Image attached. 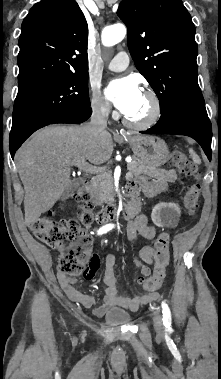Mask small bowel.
Here are the masks:
<instances>
[{"mask_svg": "<svg viewBox=\"0 0 221 379\" xmlns=\"http://www.w3.org/2000/svg\"><path fill=\"white\" fill-rule=\"evenodd\" d=\"M131 185H133L136 190L142 189L148 197L155 196L167 189L165 182L161 180L149 183L135 181L132 182ZM126 235L130 242L135 241L138 236L147 240H152L156 236V229L149 224L146 215L138 213L130 218L127 225ZM154 254V248L151 245H145L139 252V258L133 259V264L140 269L143 276H149L151 274L150 266L153 263ZM99 259V253L89 254L88 264L83 268L82 274L85 282H96L95 274H98V271H101L102 269L101 264H99ZM115 263L116 259L113 254H108L105 257V270L103 273L104 297L102 303L98 306H96V299L93 294L85 293L75 288V278L59 272L57 275L58 281L67 299L85 308H93V313L96 316H102L112 306L119 305L136 310L141 304L156 297V293H150L144 296H126L120 294L115 274Z\"/></svg>", "mask_w": 221, "mask_h": 379, "instance_id": "obj_1", "label": "small bowel"}]
</instances>
